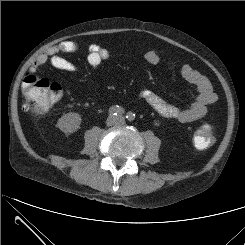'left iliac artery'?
I'll use <instances>...</instances> for the list:
<instances>
[{"label": "left iliac artery", "mask_w": 245, "mask_h": 245, "mask_svg": "<svg viewBox=\"0 0 245 245\" xmlns=\"http://www.w3.org/2000/svg\"><path fill=\"white\" fill-rule=\"evenodd\" d=\"M126 118L129 120V121H133L134 118H135V114H133L132 112H129L126 114Z\"/></svg>", "instance_id": "obj_1"}]
</instances>
